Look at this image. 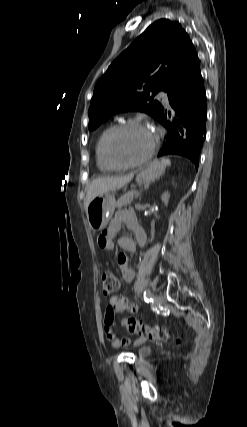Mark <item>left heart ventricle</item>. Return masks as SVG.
Masks as SVG:
<instances>
[{
  "label": "left heart ventricle",
  "mask_w": 247,
  "mask_h": 427,
  "mask_svg": "<svg viewBox=\"0 0 247 427\" xmlns=\"http://www.w3.org/2000/svg\"><path fill=\"white\" fill-rule=\"evenodd\" d=\"M152 142L151 130L130 127L117 135L112 145V151L120 162H133L142 158L149 151Z\"/></svg>",
  "instance_id": "left-heart-ventricle-1"
}]
</instances>
